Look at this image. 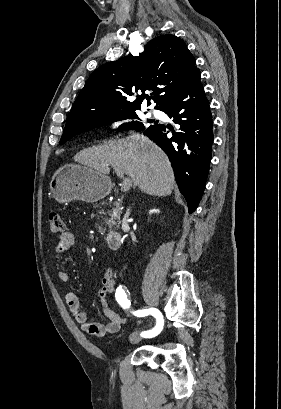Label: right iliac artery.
<instances>
[{"label": "right iliac artery", "mask_w": 281, "mask_h": 409, "mask_svg": "<svg viewBox=\"0 0 281 409\" xmlns=\"http://www.w3.org/2000/svg\"><path fill=\"white\" fill-rule=\"evenodd\" d=\"M115 297H116L118 304L122 308L128 309L130 307V299H129L130 293L128 292V290H125L123 286H119L117 288ZM133 314L139 317L147 316L151 314L157 320V324L152 330L142 332L141 335L143 337H146V338L154 337L158 335L163 329V317L158 309H155V308L143 309V310L135 311L133 312Z\"/></svg>", "instance_id": "obj_1"}]
</instances>
